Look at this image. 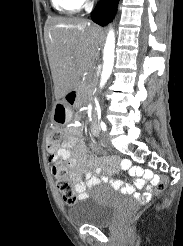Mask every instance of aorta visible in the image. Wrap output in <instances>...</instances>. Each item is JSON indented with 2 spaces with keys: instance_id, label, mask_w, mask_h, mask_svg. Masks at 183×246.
<instances>
[{
  "instance_id": "obj_1",
  "label": "aorta",
  "mask_w": 183,
  "mask_h": 246,
  "mask_svg": "<svg viewBox=\"0 0 183 246\" xmlns=\"http://www.w3.org/2000/svg\"><path fill=\"white\" fill-rule=\"evenodd\" d=\"M115 52V33L113 29L109 30L106 38V43L103 50V70L100 79V88H103L107 80L109 79L113 65H114V55Z\"/></svg>"
}]
</instances>
